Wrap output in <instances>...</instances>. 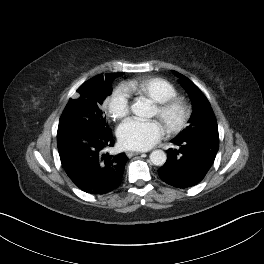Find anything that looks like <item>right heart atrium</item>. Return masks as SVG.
I'll return each instance as SVG.
<instances>
[{
	"mask_svg": "<svg viewBox=\"0 0 264 264\" xmlns=\"http://www.w3.org/2000/svg\"><path fill=\"white\" fill-rule=\"evenodd\" d=\"M106 108L114 120L125 118L130 112V92L125 86L117 87L106 99Z\"/></svg>",
	"mask_w": 264,
	"mask_h": 264,
	"instance_id": "1",
	"label": "right heart atrium"
}]
</instances>
